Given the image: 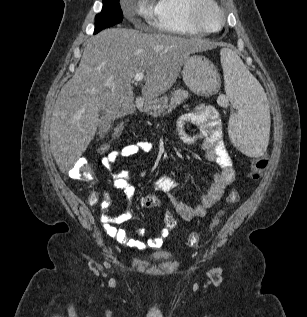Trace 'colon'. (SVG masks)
I'll return each instance as SVG.
<instances>
[{"instance_id":"obj_1","label":"colon","mask_w":307,"mask_h":317,"mask_svg":"<svg viewBox=\"0 0 307 317\" xmlns=\"http://www.w3.org/2000/svg\"><path fill=\"white\" fill-rule=\"evenodd\" d=\"M124 122H121L117 124L111 134V137L108 141L102 143L99 146V153L101 155H107L111 151H113V144L114 142L121 136L123 130H124ZM268 165V157L267 156H261L258 158H255L252 161L251 168L248 172V177L252 181H257L261 178L263 175V172L265 168ZM70 176L74 179H81V180H87L92 181L95 179L96 174L93 167L89 164V162L86 159H80L76 162V164L73 166V168L70 170ZM240 199V193L236 189H232L228 195L226 200V208L233 206L236 204ZM159 200L153 196V195H147L144 199V205L147 208H153L158 206ZM225 213V210L220 211L217 216L212 221L211 227L214 228L218 225L221 218L223 217ZM177 225L176 219L171 214L165 215V226L167 230H173ZM200 242V235L196 232H191L187 236V243L190 246H195Z\"/></svg>"}]
</instances>
